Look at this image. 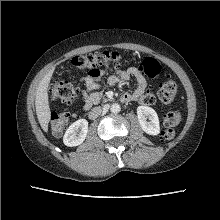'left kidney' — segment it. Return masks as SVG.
Listing matches in <instances>:
<instances>
[{
	"label": "left kidney",
	"instance_id": "1",
	"mask_svg": "<svg viewBox=\"0 0 220 220\" xmlns=\"http://www.w3.org/2000/svg\"><path fill=\"white\" fill-rule=\"evenodd\" d=\"M137 117L145 133L149 135H158L160 133L159 118L154 109L148 106H139L137 108Z\"/></svg>",
	"mask_w": 220,
	"mask_h": 220
}]
</instances>
